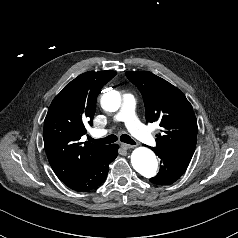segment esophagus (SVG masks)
<instances>
[{
    "mask_svg": "<svg viewBox=\"0 0 238 238\" xmlns=\"http://www.w3.org/2000/svg\"><path fill=\"white\" fill-rule=\"evenodd\" d=\"M121 147H122L123 149H125V150L134 148L133 145L125 144V143H122V144H121Z\"/></svg>",
    "mask_w": 238,
    "mask_h": 238,
    "instance_id": "34e87169",
    "label": "esophagus"
}]
</instances>
